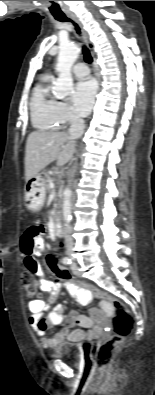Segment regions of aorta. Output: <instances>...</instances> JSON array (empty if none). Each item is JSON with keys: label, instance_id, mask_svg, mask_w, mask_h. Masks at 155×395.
<instances>
[{"label": "aorta", "instance_id": "aorta-1", "mask_svg": "<svg viewBox=\"0 0 155 395\" xmlns=\"http://www.w3.org/2000/svg\"><path fill=\"white\" fill-rule=\"evenodd\" d=\"M79 53L80 49L76 44L65 43L60 46L56 64V70L59 75L53 87V94L57 99H64L73 90L71 68L78 58ZM71 196V189L67 186L64 189L62 202L63 220L65 223H69L71 220Z\"/></svg>", "mask_w": 155, "mask_h": 395}]
</instances>
